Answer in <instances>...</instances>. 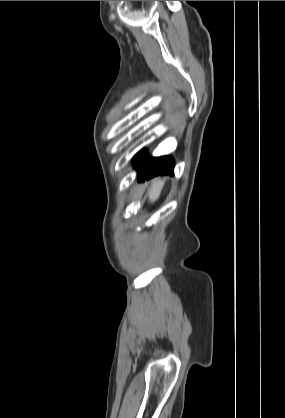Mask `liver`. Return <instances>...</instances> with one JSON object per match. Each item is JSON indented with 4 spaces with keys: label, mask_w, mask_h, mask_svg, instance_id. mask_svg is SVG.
<instances>
[{
    "label": "liver",
    "mask_w": 285,
    "mask_h": 418,
    "mask_svg": "<svg viewBox=\"0 0 285 418\" xmlns=\"http://www.w3.org/2000/svg\"><path fill=\"white\" fill-rule=\"evenodd\" d=\"M164 182L165 179L161 177L155 178L150 182V187L147 191V197L149 202L154 203L157 200L160 191L164 185Z\"/></svg>",
    "instance_id": "1"
}]
</instances>
